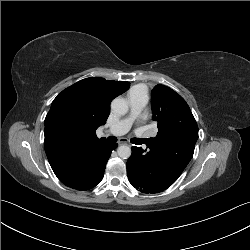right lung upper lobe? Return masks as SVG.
I'll return each instance as SVG.
<instances>
[{"instance_id":"obj_1","label":"right lung upper lobe","mask_w":250,"mask_h":250,"mask_svg":"<svg viewBox=\"0 0 250 250\" xmlns=\"http://www.w3.org/2000/svg\"><path fill=\"white\" fill-rule=\"evenodd\" d=\"M129 87L126 81L91 77L63 90L45 118L44 148L52 170L66 185L76 186L87 175L85 162L106 142L96 129L109 116L111 101Z\"/></svg>"}]
</instances>
